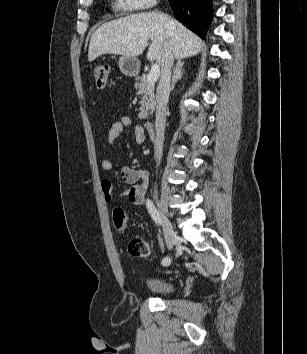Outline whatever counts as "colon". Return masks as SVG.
<instances>
[{"label":"colon","mask_w":307,"mask_h":354,"mask_svg":"<svg viewBox=\"0 0 307 354\" xmlns=\"http://www.w3.org/2000/svg\"><path fill=\"white\" fill-rule=\"evenodd\" d=\"M92 73L97 86L99 88L105 87L110 73L109 65L96 64L92 67ZM113 223L118 230H125L129 223L128 211L123 207L115 208L113 210ZM128 249L132 255L144 259L151 258L154 255L152 246L142 239L131 240Z\"/></svg>","instance_id":"1"}]
</instances>
